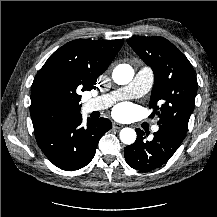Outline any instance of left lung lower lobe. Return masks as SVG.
Segmentation results:
<instances>
[{
	"mask_svg": "<svg viewBox=\"0 0 217 217\" xmlns=\"http://www.w3.org/2000/svg\"><path fill=\"white\" fill-rule=\"evenodd\" d=\"M134 144L125 147L124 155L128 165L140 171H151L165 164L183 141L184 132L169 126L159 125L151 141L145 140V133L136 129Z\"/></svg>",
	"mask_w": 217,
	"mask_h": 217,
	"instance_id": "left-lung-lower-lobe-1",
	"label": "left lung lower lobe"
}]
</instances>
